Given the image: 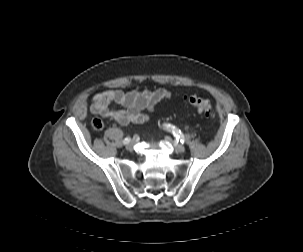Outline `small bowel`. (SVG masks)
<instances>
[{
    "label": "small bowel",
    "mask_w": 303,
    "mask_h": 252,
    "mask_svg": "<svg viewBox=\"0 0 303 252\" xmlns=\"http://www.w3.org/2000/svg\"><path fill=\"white\" fill-rule=\"evenodd\" d=\"M171 98V92L166 88H157L153 91L131 90L124 92L121 89H111L98 92L91 101V111L103 118H109L121 125L139 124L149 119V113L156 105ZM112 104L121 105L123 110L111 107ZM146 110L149 113H143Z\"/></svg>",
    "instance_id": "c3829d8e"
}]
</instances>
